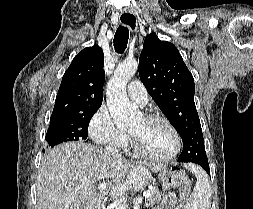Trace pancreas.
I'll use <instances>...</instances> for the list:
<instances>
[{"label": "pancreas", "instance_id": "pancreas-1", "mask_svg": "<svg viewBox=\"0 0 253 209\" xmlns=\"http://www.w3.org/2000/svg\"><path fill=\"white\" fill-rule=\"evenodd\" d=\"M161 193L158 190H151L150 196L146 200V207H153L161 200Z\"/></svg>", "mask_w": 253, "mask_h": 209}]
</instances>
